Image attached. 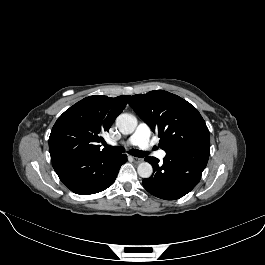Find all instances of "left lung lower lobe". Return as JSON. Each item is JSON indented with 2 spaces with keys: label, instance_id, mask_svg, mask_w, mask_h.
Segmentation results:
<instances>
[{
  "label": "left lung lower lobe",
  "instance_id": "0a47b994",
  "mask_svg": "<svg viewBox=\"0 0 265 265\" xmlns=\"http://www.w3.org/2000/svg\"><path fill=\"white\" fill-rule=\"evenodd\" d=\"M210 153V144H201L166 153L163 164L155 157L145 160L153 166L154 174L142 181L144 188L165 200L179 199L200 181Z\"/></svg>",
  "mask_w": 265,
  "mask_h": 265
}]
</instances>
